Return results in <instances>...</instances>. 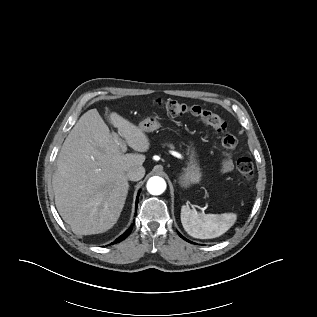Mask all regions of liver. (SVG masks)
<instances>
[{"label":"liver","instance_id":"liver-1","mask_svg":"<svg viewBox=\"0 0 317 317\" xmlns=\"http://www.w3.org/2000/svg\"><path fill=\"white\" fill-rule=\"evenodd\" d=\"M110 123L130 148L146 152L150 142L136 125L116 112ZM143 154H123L97 109L84 113L65 139L52 177L55 205L76 235L106 232L117 222L128 194L127 172L142 166Z\"/></svg>","mask_w":317,"mask_h":317}]
</instances>
